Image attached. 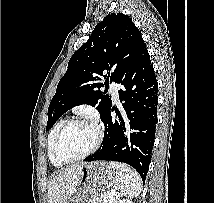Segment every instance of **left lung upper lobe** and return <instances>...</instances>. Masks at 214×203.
<instances>
[{
    "mask_svg": "<svg viewBox=\"0 0 214 203\" xmlns=\"http://www.w3.org/2000/svg\"><path fill=\"white\" fill-rule=\"evenodd\" d=\"M145 49L131 18L121 13L107 15L69 60L48 108L46 130L66 111L81 104L97 106L102 119L111 108V97L99 89L109 80L119 83ZM102 76L104 83L100 82Z\"/></svg>",
    "mask_w": 214,
    "mask_h": 203,
    "instance_id": "5c2ea615",
    "label": "left lung upper lobe"
}]
</instances>
